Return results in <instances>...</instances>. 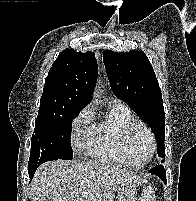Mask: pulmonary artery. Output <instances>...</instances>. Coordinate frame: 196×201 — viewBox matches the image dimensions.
Returning <instances> with one entry per match:
<instances>
[{
  "mask_svg": "<svg viewBox=\"0 0 196 201\" xmlns=\"http://www.w3.org/2000/svg\"><path fill=\"white\" fill-rule=\"evenodd\" d=\"M118 105H122V106H125L124 104H122V103H118Z\"/></svg>",
  "mask_w": 196,
  "mask_h": 201,
  "instance_id": "e3ab8cb5",
  "label": "pulmonary artery"
}]
</instances>
